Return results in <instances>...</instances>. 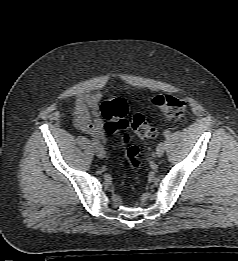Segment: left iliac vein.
Returning a JSON list of instances; mask_svg holds the SVG:
<instances>
[{"instance_id":"4c4485c4","label":"left iliac vein","mask_w":238,"mask_h":261,"mask_svg":"<svg viewBox=\"0 0 238 261\" xmlns=\"http://www.w3.org/2000/svg\"><path fill=\"white\" fill-rule=\"evenodd\" d=\"M164 151H165V143L161 142L160 144H158L156 148L157 156L161 157L164 154Z\"/></svg>"}]
</instances>
